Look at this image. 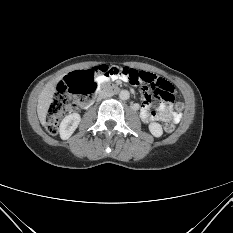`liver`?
I'll return each mask as SVG.
<instances>
[{"label": "liver", "mask_w": 233, "mask_h": 233, "mask_svg": "<svg viewBox=\"0 0 233 233\" xmlns=\"http://www.w3.org/2000/svg\"><path fill=\"white\" fill-rule=\"evenodd\" d=\"M62 77H57L48 82L38 96L37 114L42 125L46 123V115L50 104L53 102L55 87Z\"/></svg>", "instance_id": "6515ba94"}]
</instances>
